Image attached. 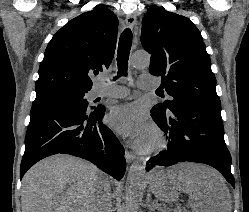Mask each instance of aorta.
<instances>
[{
	"instance_id": "aorta-1",
	"label": "aorta",
	"mask_w": 249,
	"mask_h": 212,
	"mask_svg": "<svg viewBox=\"0 0 249 212\" xmlns=\"http://www.w3.org/2000/svg\"><path fill=\"white\" fill-rule=\"evenodd\" d=\"M150 64V55L146 52H135L130 57V65L135 68L147 67ZM145 166L136 162L131 165L126 181V212H137L143 195Z\"/></svg>"
}]
</instances>
